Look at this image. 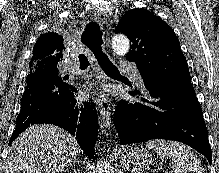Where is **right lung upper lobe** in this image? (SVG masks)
<instances>
[{"label":"right lung upper lobe","mask_w":219,"mask_h":173,"mask_svg":"<svg viewBox=\"0 0 219 173\" xmlns=\"http://www.w3.org/2000/svg\"><path fill=\"white\" fill-rule=\"evenodd\" d=\"M64 50L62 36L54 32L43 34L34 45L29 66H40L49 63L59 64L64 56Z\"/></svg>","instance_id":"right-lung-upper-lobe-1"}]
</instances>
